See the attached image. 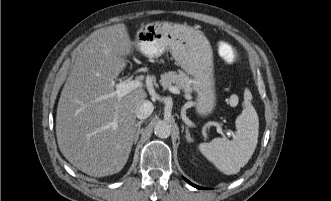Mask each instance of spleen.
<instances>
[{
    "instance_id": "1",
    "label": "spleen",
    "mask_w": 331,
    "mask_h": 201,
    "mask_svg": "<svg viewBox=\"0 0 331 201\" xmlns=\"http://www.w3.org/2000/svg\"><path fill=\"white\" fill-rule=\"evenodd\" d=\"M243 105L242 113L236 118L233 140L215 138L198 146L200 152L226 175L237 174L248 163L258 143V115L248 98Z\"/></svg>"
}]
</instances>
